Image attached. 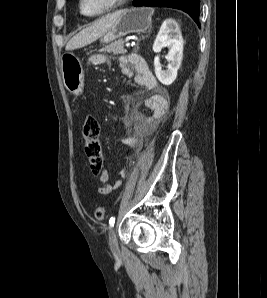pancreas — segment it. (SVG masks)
Wrapping results in <instances>:
<instances>
[{"label": "pancreas", "instance_id": "1", "mask_svg": "<svg viewBox=\"0 0 267 298\" xmlns=\"http://www.w3.org/2000/svg\"><path fill=\"white\" fill-rule=\"evenodd\" d=\"M125 43H126V40L119 39L115 42H112L110 45H107L106 47L102 48L101 51L112 53L113 55L123 54L125 52V49H124Z\"/></svg>", "mask_w": 267, "mask_h": 298}]
</instances>
